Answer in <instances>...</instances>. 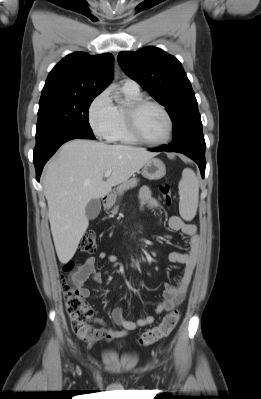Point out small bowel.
Returning a JSON list of instances; mask_svg holds the SVG:
<instances>
[{
  "label": "small bowel",
  "mask_w": 261,
  "mask_h": 399,
  "mask_svg": "<svg viewBox=\"0 0 261 399\" xmlns=\"http://www.w3.org/2000/svg\"><path fill=\"white\" fill-rule=\"evenodd\" d=\"M138 201L142 208H156L159 205L157 199L152 195L150 188L147 186H144L139 190ZM168 227L170 230L180 232L188 238L187 251L184 253L173 251L168 256L170 262L182 264L183 271L177 285L174 286L168 283L164 285L163 298L155 307V312L157 314L172 310L185 298L195 270L200 249L199 237L194 224L185 222L178 215H171L168 218ZM97 259L107 260L113 264L119 262V257L117 255L107 254L105 251H100L96 258L90 257L79 264L70 273V280L79 290L83 298L89 297L91 293L90 289L85 286V283L89 279L96 282L101 281V276L95 272ZM112 318L114 322L121 327L120 330L112 328L101 318H95L94 323L99 325V327H89L88 337L80 338L91 345L102 340L110 342L122 339L127 336L130 331L145 327L154 322V317L151 315L140 318L137 321L128 320L124 316L121 307H115L113 309Z\"/></svg>",
  "instance_id": "1"
}]
</instances>
